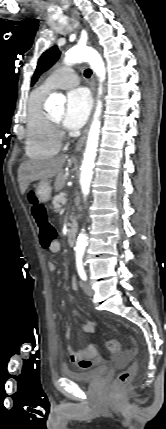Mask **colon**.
<instances>
[{"instance_id":"1","label":"colon","mask_w":166,"mask_h":429,"mask_svg":"<svg viewBox=\"0 0 166 429\" xmlns=\"http://www.w3.org/2000/svg\"><path fill=\"white\" fill-rule=\"evenodd\" d=\"M31 212L39 228L41 245L44 248H49L50 245L56 240L57 231L48 219L46 207L38 202L33 195H31ZM107 348L111 352H119L121 350V343L116 339L109 340L107 342ZM136 371L137 364L134 363L117 376L114 381V387L116 389H121L128 385L136 375Z\"/></svg>"}]
</instances>
